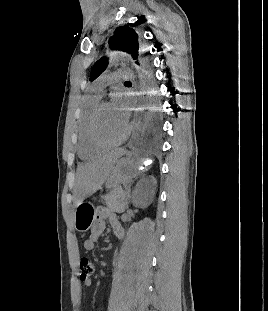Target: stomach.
Here are the masks:
<instances>
[{
  "mask_svg": "<svg viewBox=\"0 0 268 311\" xmlns=\"http://www.w3.org/2000/svg\"><path fill=\"white\" fill-rule=\"evenodd\" d=\"M143 159L137 152H126L114 164L110 176L105 182L107 189H118L122 183L132 180L140 173ZM94 208L90 203L81 202L76 206L74 213V227L78 232H86L94 221Z\"/></svg>",
  "mask_w": 268,
  "mask_h": 311,
  "instance_id": "0dacf381",
  "label": "stomach"
}]
</instances>
